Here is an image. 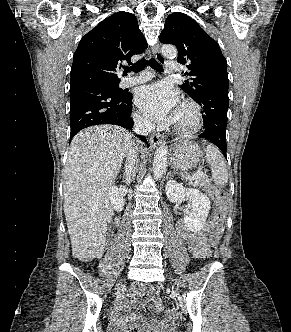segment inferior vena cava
Returning a JSON list of instances; mask_svg holds the SVG:
<instances>
[{"label": "inferior vena cava", "mask_w": 291, "mask_h": 332, "mask_svg": "<svg viewBox=\"0 0 291 332\" xmlns=\"http://www.w3.org/2000/svg\"><path fill=\"white\" fill-rule=\"evenodd\" d=\"M134 132L141 135H148V133L153 129V124L141 117L134 118ZM137 148L134 147V143L129 149L127 156V161L125 164V180L127 184H130L134 179L137 171L138 158H137Z\"/></svg>", "instance_id": "inferior-vena-cava-1"}]
</instances>
